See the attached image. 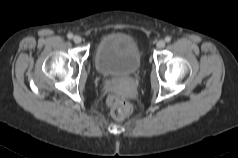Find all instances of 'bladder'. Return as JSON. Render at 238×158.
<instances>
[{
    "label": "bladder",
    "instance_id": "1",
    "mask_svg": "<svg viewBox=\"0 0 238 158\" xmlns=\"http://www.w3.org/2000/svg\"><path fill=\"white\" fill-rule=\"evenodd\" d=\"M95 67L104 76H127L141 67V54L133 37L114 32L103 36L95 48Z\"/></svg>",
    "mask_w": 238,
    "mask_h": 158
}]
</instances>
